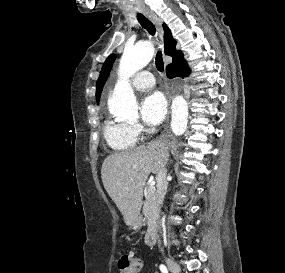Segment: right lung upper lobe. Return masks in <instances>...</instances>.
<instances>
[{"label":"right lung upper lobe","instance_id":"obj_1","mask_svg":"<svg viewBox=\"0 0 285 273\" xmlns=\"http://www.w3.org/2000/svg\"><path fill=\"white\" fill-rule=\"evenodd\" d=\"M164 29V40H165V47L164 51L165 54L170 55L173 58V63L178 62L183 59V54L181 51L176 50V41L172 37L170 29L166 26V24L163 25Z\"/></svg>","mask_w":285,"mask_h":273}]
</instances>
